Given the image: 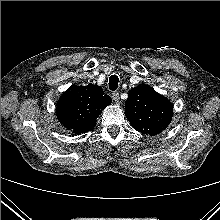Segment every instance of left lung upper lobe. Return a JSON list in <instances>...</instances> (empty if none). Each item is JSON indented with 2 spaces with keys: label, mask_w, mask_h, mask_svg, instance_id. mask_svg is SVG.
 I'll return each instance as SVG.
<instances>
[{
  "label": "left lung upper lobe",
  "mask_w": 220,
  "mask_h": 220,
  "mask_svg": "<svg viewBox=\"0 0 220 220\" xmlns=\"http://www.w3.org/2000/svg\"><path fill=\"white\" fill-rule=\"evenodd\" d=\"M125 108V115L131 126L151 136L167 128L173 116L172 104L146 85L130 90Z\"/></svg>",
  "instance_id": "5c2ea615"
}]
</instances>
